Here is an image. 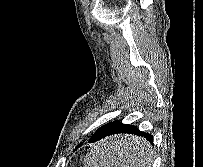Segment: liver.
I'll list each match as a JSON object with an SVG mask.
<instances>
[{
  "instance_id": "obj_1",
  "label": "liver",
  "mask_w": 203,
  "mask_h": 167,
  "mask_svg": "<svg viewBox=\"0 0 203 167\" xmlns=\"http://www.w3.org/2000/svg\"><path fill=\"white\" fill-rule=\"evenodd\" d=\"M119 137L127 138V136H118V138ZM120 141L124 142L125 139L124 140H120ZM121 144H123V143H120V145ZM128 144L131 145L130 143H128ZM119 150H121V149H119ZM122 150H123L124 153H126L127 160H133V156L132 155L134 154V151L131 149V147H124L123 148V146H122ZM137 165L138 164H135L134 167H136Z\"/></svg>"
}]
</instances>
